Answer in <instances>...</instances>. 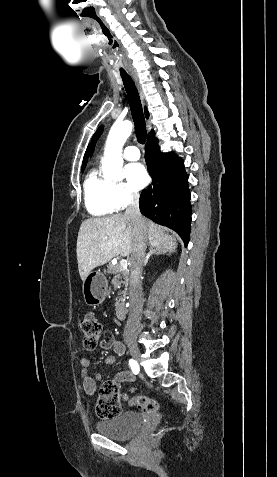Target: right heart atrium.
<instances>
[{
	"label": "right heart atrium",
	"instance_id": "1",
	"mask_svg": "<svg viewBox=\"0 0 277 477\" xmlns=\"http://www.w3.org/2000/svg\"><path fill=\"white\" fill-rule=\"evenodd\" d=\"M111 197L116 210L126 208L139 199V193L125 183H112Z\"/></svg>",
	"mask_w": 277,
	"mask_h": 477
}]
</instances>
